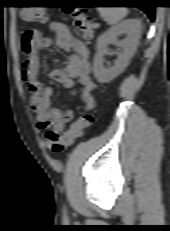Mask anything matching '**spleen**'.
Segmentation results:
<instances>
[{
    "instance_id": "spleen-1",
    "label": "spleen",
    "mask_w": 170,
    "mask_h": 231,
    "mask_svg": "<svg viewBox=\"0 0 170 231\" xmlns=\"http://www.w3.org/2000/svg\"><path fill=\"white\" fill-rule=\"evenodd\" d=\"M100 16L108 21L109 25H114L126 17L128 10L125 7H99Z\"/></svg>"
}]
</instances>
